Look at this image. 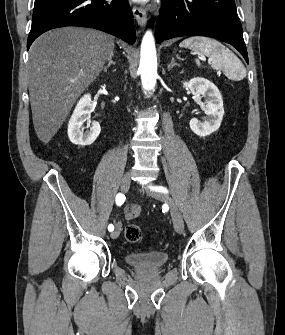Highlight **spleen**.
<instances>
[{
    "label": "spleen",
    "instance_id": "3e777b00",
    "mask_svg": "<svg viewBox=\"0 0 285 335\" xmlns=\"http://www.w3.org/2000/svg\"><path fill=\"white\" fill-rule=\"evenodd\" d=\"M179 46L180 48H190L196 54L207 56L212 64V68H215V70L216 66H223V70H236V72H239L241 78H245L246 76V70L238 58L228 48L222 46L220 42L212 40V38L194 36V38L183 40ZM195 62L197 66H201L200 60H195Z\"/></svg>",
    "mask_w": 285,
    "mask_h": 335
}]
</instances>
